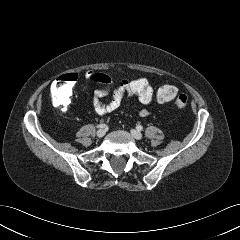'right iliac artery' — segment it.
<instances>
[{
    "mask_svg": "<svg viewBox=\"0 0 240 240\" xmlns=\"http://www.w3.org/2000/svg\"><path fill=\"white\" fill-rule=\"evenodd\" d=\"M98 127H99V128H105V127H107V125H105V124H99Z\"/></svg>",
    "mask_w": 240,
    "mask_h": 240,
    "instance_id": "82829eb1",
    "label": "right iliac artery"
}]
</instances>
